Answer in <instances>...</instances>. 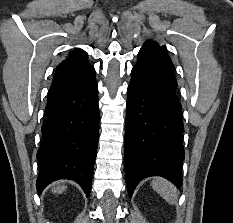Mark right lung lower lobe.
I'll return each instance as SVG.
<instances>
[{
    "instance_id": "1",
    "label": "right lung lower lobe",
    "mask_w": 233,
    "mask_h": 223,
    "mask_svg": "<svg viewBox=\"0 0 233 223\" xmlns=\"http://www.w3.org/2000/svg\"><path fill=\"white\" fill-rule=\"evenodd\" d=\"M97 93L89 63L55 72L37 152L39 193L55 180L72 179L89 196L99 132Z\"/></svg>"
}]
</instances>
